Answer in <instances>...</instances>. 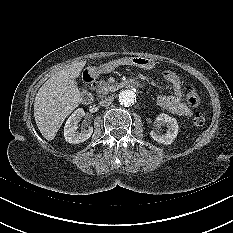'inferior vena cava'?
<instances>
[{
    "label": "inferior vena cava",
    "instance_id": "obj_1",
    "mask_svg": "<svg viewBox=\"0 0 233 233\" xmlns=\"http://www.w3.org/2000/svg\"><path fill=\"white\" fill-rule=\"evenodd\" d=\"M114 97L113 96H109L103 100L100 101V105L102 106H109L112 102H113Z\"/></svg>",
    "mask_w": 233,
    "mask_h": 233
}]
</instances>
